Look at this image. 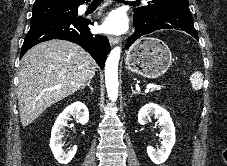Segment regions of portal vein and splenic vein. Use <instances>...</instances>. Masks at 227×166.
Segmentation results:
<instances>
[{"mask_svg": "<svg viewBox=\"0 0 227 166\" xmlns=\"http://www.w3.org/2000/svg\"><path fill=\"white\" fill-rule=\"evenodd\" d=\"M155 86H156L155 84L150 83V84H148V85L146 86V88H147V89H150V88H153V87H155Z\"/></svg>", "mask_w": 227, "mask_h": 166, "instance_id": "portal-vein-and-splenic-vein-1", "label": "portal vein and splenic vein"}]
</instances>
